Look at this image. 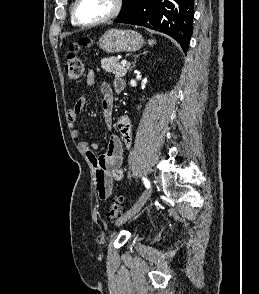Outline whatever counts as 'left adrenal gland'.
Returning a JSON list of instances; mask_svg holds the SVG:
<instances>
[{
	"instance_id": "left-adrenal-gland-1",
	"label": "left adrenal gland",
	"mask_w": 259,
	"mask_h": 294,
	"mask_svg": "<svg viewBox=\"0 0 259 294\" xmlns=\"http://www.w3.org/2000/svg\"><path fill=\"white\" fill-rule=\"evenodd\" d=\"M146 53H147V51H144V52H143V55H145ZM140 55H142V54H139V55H137V56L135 57V60H134L133 65H132V67H131L130 70H132V69L135 67V64H136V58L139 57Z\"/></svg>"
}]
</instances>
